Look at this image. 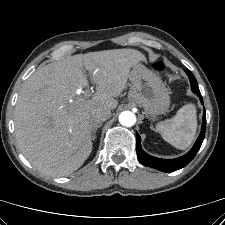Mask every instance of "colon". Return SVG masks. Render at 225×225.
<instances>
[{
    "label": "colon",
    "instance_id": "colon-1",
    "mask_svg": "<svg viewBox=\"0 0 225 225\" xmlns=\"http://www.w3.org/2000/svg\"><path fill=\"white\" fill-rule=\"evenodd\" d=\"M153 67L156 69V70H158V71H162L163 69H164V65H163V63L162 62H155L154 64H153Z\"/></svg>",
    "mask_w": 225,
    "mask_h": 225
}]
</instances>
